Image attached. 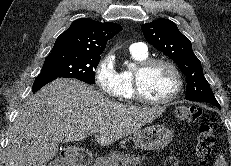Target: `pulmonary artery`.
<instances>
[{
  "mask_svg": "<svg viewBox=\"0 0 231 166\" xmlns=\"http://www.w3.org/2000/svg\"><path fill=\"white\" fill-rule=\"evenodd\" d=\"M130 50L141 53V54H147L148 53L147 46L142 42H137V43L131 44Z\"/></svg>",
  "mask_w": 231,
  "mask_h": 166,
  "instance_id": "pulmonary-artery-1",
  "label": "pulmonary artery"
}]
</instances>
